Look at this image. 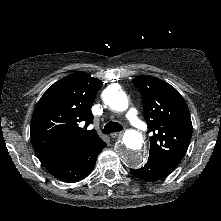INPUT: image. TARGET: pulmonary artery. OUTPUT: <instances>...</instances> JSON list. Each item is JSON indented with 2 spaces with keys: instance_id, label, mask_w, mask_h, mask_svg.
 <instances>
[{
  "instance_id": "pulmonary-artery-1",
  "label": "pulmonary artery",
  "mask_w": 221,
  "mask_h": 221,
  "mask_svg": "<svg viewBox=\"0 0 221 221\" xmlns=\"http://www.w3.org/2000/svg\"><path fill=\"white\" fill-rule=\"evenodd\" d=\"M126 117L129 120V122L136 128L146 130L147 126L142 120L139 119L137 110L135 108L131 107L127 111Z\"/></svg>"
}]
</instances>
